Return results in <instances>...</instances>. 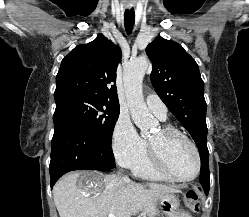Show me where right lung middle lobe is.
<instances>
[{"instance_id":"right-lung-middle-lobe-1","label":"right lung middle lobe","mask_w":249,"mask_h":217,"mask_svg":"<svg viewBox=\"0 0 249 217\" xmlns=\"http://www.w3.org/2000/svg\"><path fill=\"white\" fill-rule=\"evenodd\" d=\"M54 98V115L73 119L91 135L111 144L113 129L120 112L118 104L78 93H65Z\"/></svg>"}]
</instances>
